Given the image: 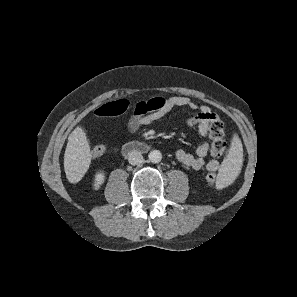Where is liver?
Listing matches in <instances>:
<instances>
[{
    "instance_id": "1",
    "label": "liver",
    "mask_w": 297,
    "mask_h": 297,
    "mask_svg": "<svg viewBox=\"0 0 297 297\" xmlns=\"http://www.w3.org/2000/svg\"><path fill=\"white\" fill-rule=\"evenodd\" d=\"M90 146L82 128L76 127L68 137L64 153V170L69 182H79L91 162Z\"/></svg>"
}]
</instances>
